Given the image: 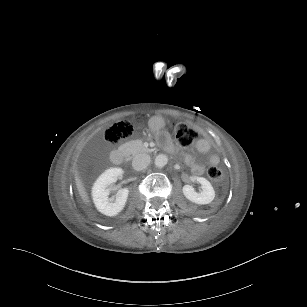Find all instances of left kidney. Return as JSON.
Returning a JSON list of instances; mask_svg holds the SVG:
<instances>
[{
	"instance_id": "5707ae66",
	"label": "left kidney",
	"mask_w": 307,
	"mask_h": 307,
	"mask_svg": "<svg viewBox=\"0 0 307 307\" xmlns=\"http://www.w3.org/2000/svg\"><path fill=\"white\" fill-rule=\"evenodd\" d=\"M197 183L201 185V191L196 192L190 185H184L182 193L184 197L198 205L210 204L215 198V191L211 183L204 177H195Z\"/></svg>"
}]
</instances>
